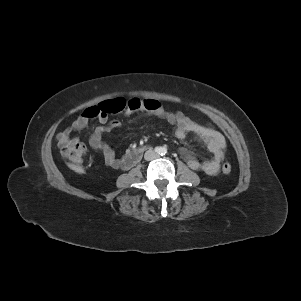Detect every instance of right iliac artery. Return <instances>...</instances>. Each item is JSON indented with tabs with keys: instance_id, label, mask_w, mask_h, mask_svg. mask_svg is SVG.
Listing matches in <instances>:
<instances>
[{
	"instance_id": "obj_1",
	"label": "right iliac artery",
	"mask_w": 301,
	"mask_h": 301,
	"mask_svg": "<svg viewBox=\"0 0 301 301\" xmlns=\"http://www.w3.org/2000/svg\"><path fill=\"white\" fill-rule=\"evenodd\" d=\"M155 152L160 153V152H161V148L156 147V148H155Z\"/></svg>"
}]
</instances>
